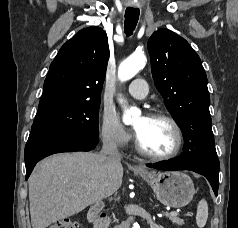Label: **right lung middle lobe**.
Wrapping results in <instances>:
<instances>
[{
    "instance_id": "right-lung-middle-lobe-1",
    "label": "right lung middle lobe",
    "mask_w": 238,
    "mask_h": 228,
    "mask_svg": "<svg viewBox=\"0 0 238 228\" xmlns=\"http://www.w3.org/2000/svg\"><path fill=\"white\" fill-rule=\"evenodd\" d=\"M99 105L100 101L81 102L36 116L32 130H71L99 136Z\"/></svg>"
}]
</instances>
